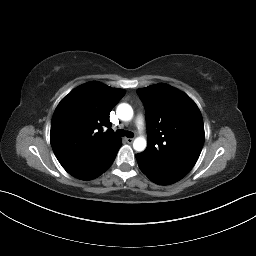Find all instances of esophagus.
Wrapping results in <instances>:
<instances>
[{"instance_id": "1", "label": "esophagus", "mask_w": 256, "mask_h": 256, "mask_svg": "<svg viewBox=\"0 0 256 256\" xmlns=\"http://www.w3.org/2000/svg\"><path fill=\"white\" fill-rule=\"evenodd\" d=\"M125 140L128 144H131L133 142V138H126Z\"/></svg>"}]
</instances>
